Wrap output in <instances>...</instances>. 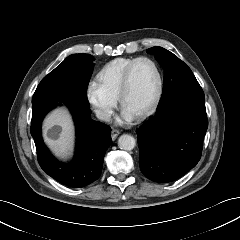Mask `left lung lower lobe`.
<instances>
[{
  "instance_id": "0a47b994",
  "label": "left lung lower lobe",
  "mask_w": 240,
  "mask_h": 240,
  "mask_svg": "<svg viewBox=\"0 0 240 240\" xmlns=\"http://www.w3.org/2000/svg\"><path fill=\"white\" fill-rule=\"evenodd\" d=\"M207 128L205 101L168 105L137 129L141 172L158 183L179 179L199 162Z\"/></svg>"
}]
</instances>
